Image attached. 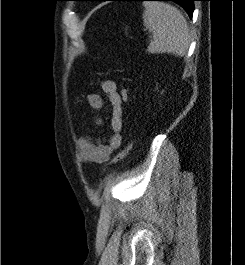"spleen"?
Returning a JSON list of instances; mask_svg holds the SVG:
<instances>
[{"instance_id": "spleen-1", "label": "spleen", "mask_w": 245, "mask_h": 265, "mask_svg": "<svg viewBox=\"0 0 245 265\" xmlns=\"http://www.w3.org/2000/svg\"><path fill=\"white\" fill-rule=\"evenodd\" d=\"M143 23L152 33L149 53H171L186 55L190 44V33L183 14L174 6L157 1L143 2Z\"/></svg>"}]
</instances>
